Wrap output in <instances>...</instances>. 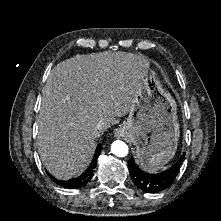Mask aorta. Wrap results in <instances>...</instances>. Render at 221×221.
<instances>
[{
	"label": "aorta",
	"mask_w": 221,
	"mask_h": 221,
	"mask_svg": "<svg viewBox=\"0 0 221 221\" xmlns=\"http://www.w3.org/2000/svg\"><path fill=\"white\" fill-rule=\"evenodd\" d=\"M128 146L123 141H114L111 145V152L118 157H125L128 154Z\"/></svg>",
	"instance_id": "762f6f07"
}]
</instances>
